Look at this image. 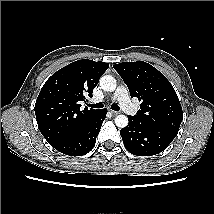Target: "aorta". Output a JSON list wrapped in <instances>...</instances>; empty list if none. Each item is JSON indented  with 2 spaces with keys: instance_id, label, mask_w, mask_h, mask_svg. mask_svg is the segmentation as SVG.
Returning a JSON list of instances; mask_svg holds the SVG:
<instances>
[{
  "instance_id": "1",
  "label": "aorta",
  "mask_w": 214,
  "mask_h": 214,
  "mask_svg": "<svg viewBox=\"0 0 214 214\" xmlns=\"http://www.w3.org/2000/svg\"><path fill=\"white\" fill-rule=\"evenodd\" d=\"M100 86L104 91L112 92L116 89V79L111 75H104L100 78ZM115 124L119 128H125L128 125V118L125 115H118L115 118Z\"/></svg>"
}]
</instances>
